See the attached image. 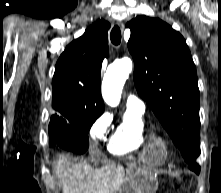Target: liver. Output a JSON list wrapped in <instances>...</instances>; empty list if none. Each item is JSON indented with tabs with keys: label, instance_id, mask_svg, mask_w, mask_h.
Segmentation results:
<instances>
[{
	"label": "liver",
	"instance_id": "liver-1",
	"mask_svg": "<svg viewBox=\"0 0 221 193\" xmlns=\"http://www.w3.org/2000/svg\"><path fill=\"white\" fill-rule=\"evenodd\" d=\"M54 170L63 193H118L125 176L123 167L115 163L94 169L85 161L72 164L65 156L55 162Z\"/></svg>",
	"mask_w": 221,
	"mask_h": 193
}]
</instances>
